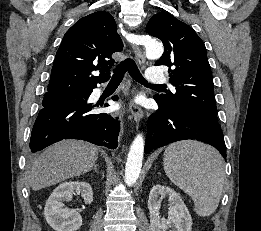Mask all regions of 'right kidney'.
Wrapping results in <instances>:
<instances>
[{"mask_svg": "<svg viewBox=\"0 0 261 231\" xmlns=\"http://www.w3.org/2000/svg\"><path fill=\"white\" fill-rule=\"evenodd\" d=\"M74 192L81 194L85 204L93 201V191L87 182L70 181L56 187L44 208L45 219L55 231H76L82 225L79 212L65 208L63 203L71 201Z\"/></svg>", "mask_w": 261, "mask_h": 231, "instance_id": "1", "label": "right kidney"}]
</instances>
